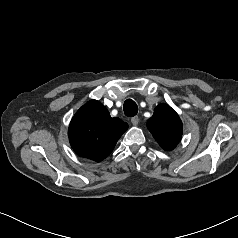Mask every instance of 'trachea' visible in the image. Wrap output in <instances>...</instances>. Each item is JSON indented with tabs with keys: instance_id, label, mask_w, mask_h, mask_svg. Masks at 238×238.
Returning <instances> with one entry per match:
<instances>
[{
	"instance_id": "trachea-1",
	"label": "trachea",
	"mask_w": 238,
	"mask_h": 238,
	"mask_svg": "<svg viewBox=\"0 0 238 238\" xmlns=\"http://www.w3.org/2000/svg\"><path fill=\"white\" fill-rule=\"evenodd\" d=\"M138 112V106L132 99H127L124 102V113L128 117H133Z\"/></svg>"
}]
</instances>
